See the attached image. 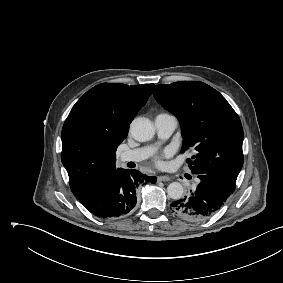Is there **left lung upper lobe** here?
I'll return each mask as SVG.
<instances>
[{
  "mask_svg": "<svg viewBox=\"0 0 283 283\" xmlns=\"http://www.w3.org/2000/svg\"><path fill=\"white\" fill-rule=\"evenodd\" d=\"M153 95L173 113L182 127V151L196 150L188 159L195 174H213L236 182L243 165V129L227 100L197 81L156 85Z\"/></svg>",
  "mask_w": 283,
  "mask_h": 283,
  "instance_id": "5c2ea615",
  "label": "left lung upper lobe"
}]
</instances>
